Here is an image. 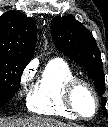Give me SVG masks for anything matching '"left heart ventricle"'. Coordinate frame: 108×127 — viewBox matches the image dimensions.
I'll list each match as a JSON object with an SVG mask.
<instances>
[{"label": "left heart ventricle", "mask_w": 108, "mask_h": 127, "mask_svg": "<svg viewBox=\"0 0 108 127\" xmlns=\"http://www.w3.org/2000/svg\"><path fill=\"white\" fill-rule=\"evenodd\" d=\"M75 104L84 115H91L94 111V99L90 92L84 88H80L76 91Z\"/></svg>", "instance_id": "1"}]
</instances>
